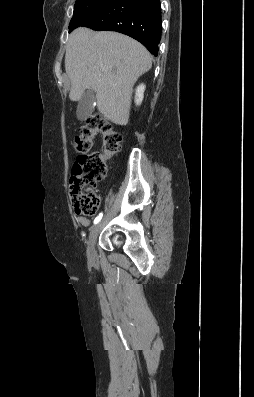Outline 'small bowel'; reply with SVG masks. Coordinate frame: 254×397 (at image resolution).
Returning <instances> with one entry per match:
<instances>
[{"label": "small bowel", "instance_id": "small-bowel-1", "mask_svg": "<svg viewBox=\"0 0 254 397\" xmlns=\"http://www.w3.org/2000/svg\"><path fill=\"white\" fill-rule=\"evenodd\" d=\"M77 221L81 223L83 226H89L90 221L85 217H77Z\"/></svg>", "mask_w": 254, "mask_h": 397}]
</instances>
